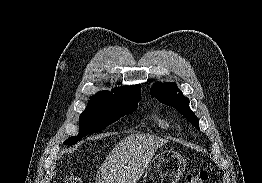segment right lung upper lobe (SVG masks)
<instances>
[{
	"label": "right lung upper lobe",
	"mask_w": 262,
	"mask_h": 183,
	"mask_svg": "<svg viewBox=\"0 0 262 183\" xmlns=\"http://www.w3.org/2000/svg\"><path fill=\"white\" fill-rule=\"evenodd\" d=\"M140 85L123 86L115 88L112 92L100 91L96 95L91 96V101H102L108 103H118L124 101H132L140 99Z\"/></svg>",
	"instance_id": "1"
}]
</instances>
